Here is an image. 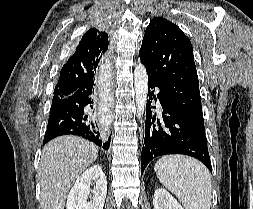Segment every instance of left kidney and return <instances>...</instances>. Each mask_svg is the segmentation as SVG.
Instances as JSON below:
<instances>
[{"instance_id":"1","label":"left kidney","mask_w":253,"mask_h":209,"mask_svg":"<svg viewBox=\"0 0 253 209\" xmlns=\"http://www.w3.org/2000/svg\"><path fill=\"white\" fill-rule=\"evenodd\" d=\"M154 209H183L175 198L164 188H158L153 198Z\"/></svg>"}]
</instances>
